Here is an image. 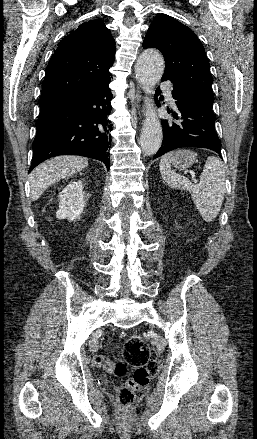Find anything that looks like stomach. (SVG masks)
I'll list each match as a JSON object with an SVG mask.
<instances>
[{
	"label": "stomach",
	"mask_w": 257,
	"mask_h": 439,
	"mask_svg": "<svg viewBox=\"0 0 257 439\" xmlns=\"http://www.w3.org/2000/svg\"><path fill=\"white\" fill-rule=\"evenodd\" d=\"M196 162V153L190 150L176 151L171 159V164L177 169H186Z\"/></svg>",
	"instance_id": "obj_1"
}]
</instances>
